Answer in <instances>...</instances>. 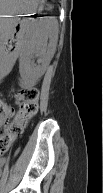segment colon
<instances>
[{
  "instance_id": "obj_1",
  "label": "colon",
  "mask_w": 103,
  "mask_h": 193,
  "mask_svg": "<svg viewBox=\"0 0 103 193\" xmlns=\"http://www.w3.org/2000/svg\"><path fill=\"white\" fill-rule=\"evenodd\" d=\"M14 97L18 105L16 114L9 104H1L0 118L3 129L0 136L1 153H5L9 149L39 109V91L36 88L21 89L15 93Z\"/></svg>"
}]
</instances>
